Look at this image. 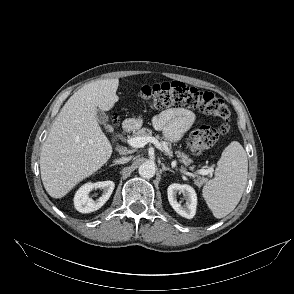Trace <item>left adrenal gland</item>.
<instances>
[{
	"label": "left adrenal gland",
	"mask_w": 294,
	"mask_h": 294,
	"mask_svg": "<svg viewBox=\"0 0 294 294\" xmlns=\"http://www.w3.org/2000/svg\"><path fill=\"white\" fill-rule=\"evenodd\" d=\"M161 165H162V170H163V172H164V171H170V172L174 173V171H173L172 169L166 167L163 163H162Z\"/></svg>",
	"instance_id": "a2214340"
}]
</instances>
